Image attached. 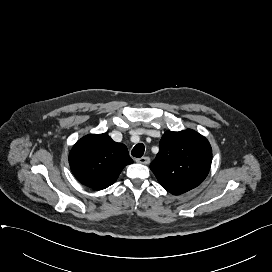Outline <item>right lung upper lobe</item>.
<instances>
[{"label":"right lung upper lobe","instance_id":"cb5924a9","mask_svg":"<svg viewBox=\"0 0 272 272\" xmlns=\"http://www.w3.org/2000/svg\"><path fill=\"white\" fill-rule=\"evenodd\" d=\"M69 163L79 182L102 190L112 185L122 169L133 160L124 144L114 142L104 133L81 138L69 154Z\"/></svg>","mask_w":272,"mask_h":272}]
</instances>
